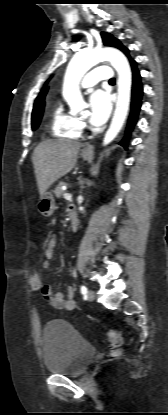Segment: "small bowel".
Listing matches in <instances>:
<instances>
[{
    "label": "small bowel",
    "instance_id": "1",
    "mask_svg": "<svg viewBox=\"0 0 168 415\" xmlns=\"http://www.w3.org/2000/svg\"><path fill=\"white\" fill-rule=\"evenodd\" d=\"M56 238L55 236H51L44 247V255L46 260L42 263L43 269H49L51 266L50 260L54 256V252L56 249ZM42 295L44 298L56 309L71 311L75 308L76 302L73 297V289L68 287L66 294L63 292L53 293L52 287L49 284H43V289L41 290Z\"/></svg>",
    "mask_w": 168,
    "mask_h": 415
}]
</instances>
